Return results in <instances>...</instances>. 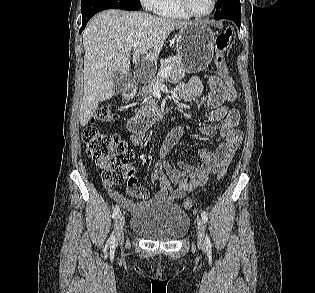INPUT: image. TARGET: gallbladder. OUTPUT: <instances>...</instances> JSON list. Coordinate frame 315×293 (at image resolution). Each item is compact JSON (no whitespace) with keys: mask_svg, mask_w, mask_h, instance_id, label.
<instances>
[{"mask_svg":"<svg viewBox=\"0 0 315 293\" xmlns=\"http://www.w3.org/2000/svg\"><path fill=\"white\" fill-rule=\"evenodd\" d=\"M114 79H115V80L121 79V73H120V71H116V72L114 73ZM119 92H120V87H118V88L116 89V94H118Z\"/></svg>","mask_w":315,"mask_h":293,"instance_id":"bac80fb5","label":"gallbladder"}]
</instances>
